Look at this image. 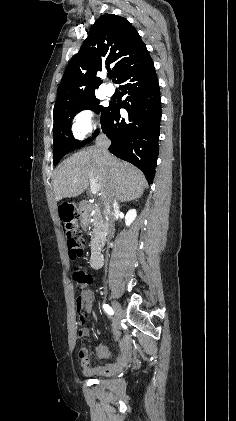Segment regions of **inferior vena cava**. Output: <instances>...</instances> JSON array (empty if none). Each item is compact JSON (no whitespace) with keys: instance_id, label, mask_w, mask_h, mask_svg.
Returning <instances> with one entry per match:
<instances>
[{"instance_id":"602c4592","label":"inferior vena cava","mask_w":236,"mask_h":421,"mask_svg":"<svg viewBox=\"0 0 236 421\" xmlns=\"http://www.w3.org/2000/svg\"><path fill=\"white\" fill-rule=\"evenodd\" d=\"M111 144V140H109V138H107L106 134H103V132H101V134H99V136H97L96 138V146L98 148V150H100V152H102V156H103V160L105 162V164H109V162H107L108 158H110L111 154L108 150L109 146ZM108 208H107V225H108V229H110V235H111V231L113 229V223H114V211H118L119 208V204L117 202V198L116 196H113V198H111V200H108ZM109 235V237H110Z\"/></svg>"}]
</instances>
